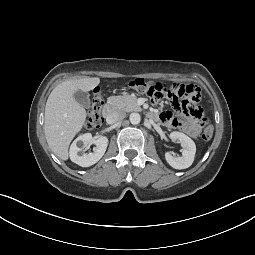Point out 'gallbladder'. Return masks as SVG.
I'll use <instances>...</instances> for the list:
<instances>
[{"label":"gallbladder","mask_w":255,"mask_h":255,"mask_svg":"<svg viewBox=\"0 0 255 255\" xmlns=\"http://www.w3.org/2000/svg\"><path fill=\"white\" fill-rule=\"evenodd\" d=\"M74 97L76 99V101L84 108L89 107L90 104V98H89V94L78 90L75 94Z\"/></svg>","instance_id":"gallbladder-1"}]
</instances>
